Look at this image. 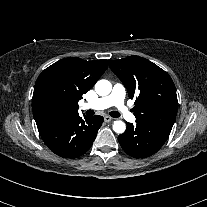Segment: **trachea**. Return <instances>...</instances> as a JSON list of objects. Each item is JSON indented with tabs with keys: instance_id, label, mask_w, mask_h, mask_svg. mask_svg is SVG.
Wrapping results in <instances>:
<instances>
[{
	"instance_id": "trachea-1",
	"label": "trachea",
	"mask_w": 207,
	"mask_h": 207,
	"mask_svg": "<svg viewBox=\"0 0 207 207\" xmlns=\"http://www.w3.org/2000/svg\"><path fill=\"white\" fill-rule=\"evenodd\" d=\"M110 115H111L112 117H115V118L120 117V113H119L118 111H112V112H110Z\"/></svg>"
}]
</instances>
